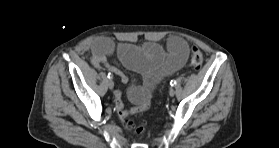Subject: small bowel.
<instances>
[{"mask_svg":"<svg viewBox=\"0 0 279 148\" xmlns=\"http://www.w3.org/2000/svg\"><path fill=\"white\" fill-rule=\"evenodd\" d=\"M168 54L156 43H148L142 47L121 44L118 47L107 37H100L92 43V64L97 69L106 68L115 74L121 82L126 83L128 77L119 68L108 63V57L114 51L125 67L143 77L142 85H131L128 89L129 100L136 105L126 110L116 93L115 104L118 116L121 119L146 109L149 104L154 86L164 77L180 70L188 58L189 47L187 42L178 36H172L167 41Z\"/></svg>","mask_w":279,"mask_h":148,"instance_id":"c3829d8e","label":"small bowel"}]
</instances>
